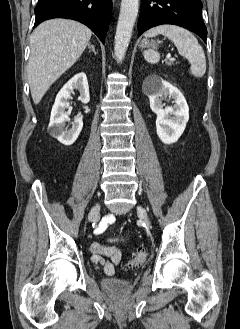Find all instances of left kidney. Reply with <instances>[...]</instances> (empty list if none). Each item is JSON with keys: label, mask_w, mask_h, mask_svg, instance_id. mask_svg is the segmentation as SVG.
I'll return each mask as SVG.
<instances>
[{"label": "left kidney", "mask_w": 240, "mask_h": 329, "mask_svg": "<svg viewBox=\"0 0 240 329\" xmlns=\"http://www.w3.org/2000/svg\"><path fill=\"white\" fill-rule=\"evenodd\" d=\"M143 89L150 100V108L157 115L156 132L164 144L175 143L189 120V107L183 94L158 75H150L143 82ZM174 99V106L163 108V99Z\"/></svg>", "instance_id": "1"}]
</instances>
